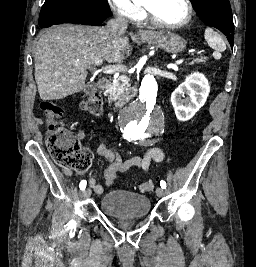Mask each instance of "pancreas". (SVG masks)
Masks as SVG:
<instances>
[{"label": "pancreas", "instance_id": "cf45deb5", "mask_svg": "<svg viewBox=\"0 0 256 267\" xmlns=\"http://www.w3.org/2000/svg\"><path fill=\"white\" fill-rule=\"evenodd\" d=\"M207 58H197L194 62H190L187 66H193V64H199V62H206ZM129 80L125 78V82H122V78H118L117 82H110V86L108 88L109 98L107 102L111 104V102H116L117 106H124L129 102L130 98H134L137 92L134 88H129Z\"/></svg>", "mask_w": 256, "mask_h": 267}]
</instances>
